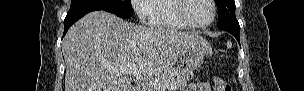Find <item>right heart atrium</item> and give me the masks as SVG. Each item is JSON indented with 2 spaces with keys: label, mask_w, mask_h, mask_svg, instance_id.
Masks as SVG:
<instances>
[{
  "label": "right heart atrium",
  "mask_w": 304,
  "mask_h": 91,
  "mask_svg": "<svg viewBox=\"0 0 304 91\" xmlns=\"http://www.w3.org/2000/svg\"><path fill=\"white\" fill-rule=\"evenodd\" d=\"M154 0H133L132 5L134 11L136 12L139 20L141 22H151L152 21V14L150 11V6Z\"/></svg>",
  "instance_id": "d8ad5b80"
}]
</instances>
